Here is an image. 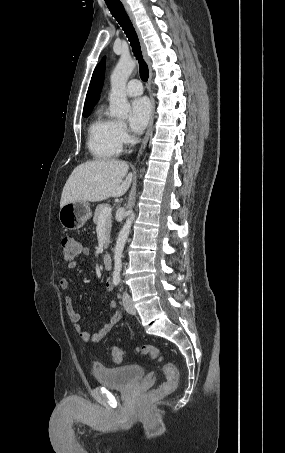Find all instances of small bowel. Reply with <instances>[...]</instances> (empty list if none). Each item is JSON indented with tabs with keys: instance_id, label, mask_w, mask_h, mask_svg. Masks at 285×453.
<instances>
[{
	"instance_id": "c3829d8e",
	"label": "small bowel",
	"mask_w": 285,
	"mask_h": 453,
	"mask_svg": "<svg viewBox=\"0 0 285 453\" xmlns=\"http://www.w3.org/2000/svg\"><path fill=\"white\" fill-rule=\"evenodd\" d=\"M80 254L87 256L90 254V249L88 247H81L80 249ZM77 266V263L75 261H71L68 264L69 269H75ZM59 286L62 290H67L70 287V281L68 278H61L59 281ZM106 288L108 291L112 290V283L110 280L106 282ZM65 306H66V312L70 318V320L74 324V329L78 336L84 341V342H89V343H98L102 341L108 333L112 330V328L122 319V314L121 312L117 311L115 312L110 320L103 325V327L95 332V333H90L86 331L83 326L80 324V319L81 316L79 312L77 311L76 307L74 306L73 300L71 297H66L65 298ZM117 306L116 302L114 300L109 301V307L111 309H115Z\"/></svg>"
}]
</instances>
